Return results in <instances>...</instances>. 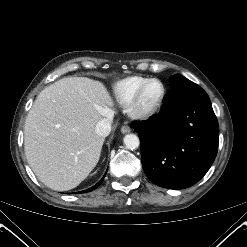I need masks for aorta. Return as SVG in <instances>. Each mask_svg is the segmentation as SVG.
I'll use <instances>...</instances> for the list:
<instances>
[{"mask_svg":"<svg viewBox=\"0 0 247 247\" xmlns=\"http://www.w3.org/2000/svg\"><path fill=\"white\" fill-rule=\"evenodd\" d=\"M123 141H124L126 148L130 150L137 149L140 145L139 138L135 134L125 135Z\"/></svg>","mask_w":247,"mask_h":247,"instance_id":"obj_1","label":"aorta"}]
</instances>
